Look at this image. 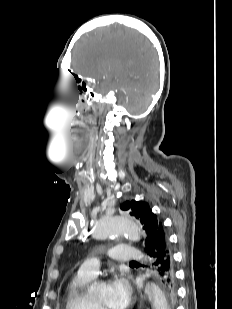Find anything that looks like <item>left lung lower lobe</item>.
Returning <instances> with one entry per match:
<instances>
[{"mask_svg": "<svg viewBox=\"0 0 232 309\" xmlns=\"http://www.w3.org/2000/svg\"><path fill=\"white\" fill-rule=\"evenodd\" d=\"M145 252L150 257V267L157 273L164 291L173 296L176 293L175 270L171 248L163 224L162 227L158 228L156 239L145 249Z\"/></svg>", "mask_w": 232, "mask_h": 309, "instance_id": "obj_1", "label": "left lung lower lobe"}]
</instances>
